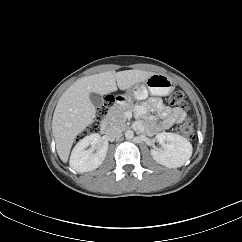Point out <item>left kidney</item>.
<instances>
[{
    "label": "left kidney",
    "instance_id": "obj_1",
    "mask_svg": "<svg viewBox=\"0 0 242 242\" xmlns=\"http://www.w3.org/2000/svg\"><path fill=\"white\" fill-rule=\"evenodd\" d=\"M156 139L161 148L151 150L155 161L159 164L177 168L184 165L192 155V145L186 138L175 133H159Z\"/></svg>",
    "mask_w": 242,
    "mask_h": 242
}]
</instances>
